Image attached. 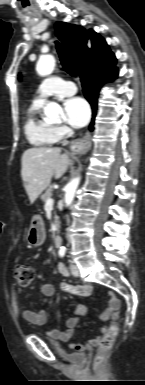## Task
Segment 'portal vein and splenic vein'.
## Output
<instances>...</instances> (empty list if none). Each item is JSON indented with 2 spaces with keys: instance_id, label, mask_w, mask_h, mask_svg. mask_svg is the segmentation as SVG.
I'll use <instances>...</instances> for the list:
<instances>
[{
  "instance_id": "portal-vein-and-splenic-vein-1",
  "label": "portal vein and splenic vein",
  "mask_w": 145,
  "mask_h": 385,
  "mask_svg": "<svg viewBox=\"0 0 145 385\" xmlns=\"http://www.w3.org/2000/svg\"><path fill=\"white\" fill-rule=\"evenodd\" d=\"M53 204H54V200L52 198H49L45 203V208L51 209L53 207Z\"/></svg>"
}]
</instances>
